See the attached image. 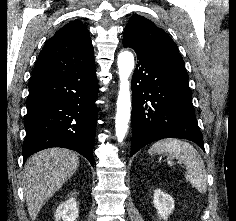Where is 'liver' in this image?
Listing matches in <instances>:
<instances>
[{
  "label": "liver",
  "instance_id": "obj_1",
  "mask_svg": "<svg viewBox=\"0 0 236 221\" xmlns=\"http://www.w3.org/2000/svg\"><path fill=\"white\" fill-rule=\"evenodd\" d=\"M78 167V155L65 148L45 149L28 160L22 185L32 221L37 218L46 201L63 186Z\"/></svg>",
  "mask_w": 236,
  "mask_h": 221
}]
</instances>
